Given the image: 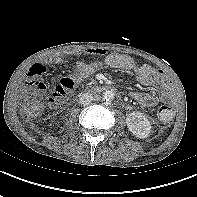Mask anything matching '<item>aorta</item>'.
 <instances>
[{
	"mask_svg": "<svg viewBox=\"0 0 197 197\" xmlns=\"http://www.w3.org/2000/svg\"><path fill=\"white\" fill-rule=\"evenodd\" d=\"M115 97V94L112 90H106L104 93H103V99L106 100V101H112Z\"/></svg>",
	"mask_w": 197,
	"mask_h": 197,
	"instance_id": "762f6f07",
	"label": "aorta"
}]
</instances>
